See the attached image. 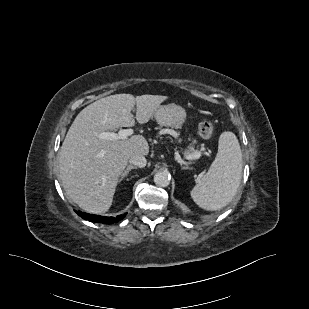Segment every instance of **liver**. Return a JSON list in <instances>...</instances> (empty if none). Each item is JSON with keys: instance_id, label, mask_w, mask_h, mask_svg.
<instances>
[{"instance_id": "1", "label": "liver", "mask_w": 309, "mask_h": 309, "mask_svg": "<svg viewBox=\"0 0 309 309\" xmlns=\"http://www.w3.org/2000/svg\"><path fill=\"white\" fill-rule=\"evenodd\" d=\"M162 95L115 94L85 107L70 126L61 146L59 173L67 195L90 213H104L112 205L119 176L134 154L148 155L149 145L142 135L124 140L99 138L102 132L147 123L160 104Z\"/></svg>"}]
</instances>
